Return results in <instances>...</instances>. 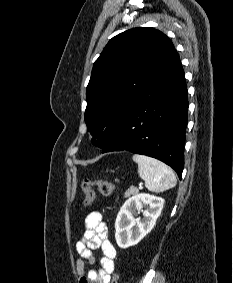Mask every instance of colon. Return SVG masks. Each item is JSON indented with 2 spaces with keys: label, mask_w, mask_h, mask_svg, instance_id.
Returning a JSON list of instances; mask_svg holds the SVG:
<instances>
[{
  "label": "colon",
  "mask_w": 233,
  "mask_h": 283,
  "mask_svg": "<svg viewBox=\"0 0 233 283\" xmlns=\"http://www.w3.org/2000/svg\"><path fill=\"white\" fill-rule=\"evenodd\" d=\"M81 189L84 195V206H89L95 197L94 189H97L102 195L108 196L115 191L116 185L105 179L86 178L81 184ZM110 283H118V275L116 273L112 275Z\"/></svg>",
  "instance_id": "colon-1"
}]
</instances>
